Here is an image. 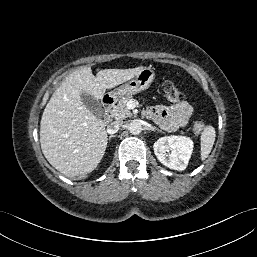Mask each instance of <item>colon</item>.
Instances as JSON below:
<instances>
[{
  "label": "colon",
  "mask_w": 257,
  "mask_h": 257,
  "mask_svg": "<svg viewBox=\"0 0 257 257\" xmlns=\"http://www.w3.org/2000/svg\"><path fill=\"white\" fill-rule=\"evenodd\" d=\"M163 94L166 99L171 102H180L183 95L179 88L172 82H165L163 85ZM194 128L197 131H201L204 128V123L201 121L195 122Z\"/></svg>",
  "instance_id": "obj_1"
}]
</instances>
